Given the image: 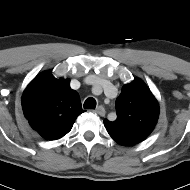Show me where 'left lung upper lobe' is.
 <instances>
[{
  "label": "left lung upper lobe",
  "instance_id": "left-lung-upper-lobe-1",
  "mask_svg": "<svg viewBox=\"0 0 190 190\" xmlns=\"http://www.w3.org/2000/svg\"><path fill=\"white\" fill-rule=\"evenodd\" d=\"M117 119L104 120L109 135L119 144L132 146L146 139L159 116V105L150 89L140 79L122 87L116 99Z\"/></svg>",
  "mask_w": 190,
  "mask_h": 190
}]
</instances>
